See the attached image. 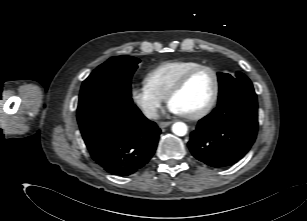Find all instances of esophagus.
Segmentation results:
<instances>
[{"label": "esophagus", "instance_id": "34e87169", "mask_svg": "<svg viewBox=\"0 0 307 221\" xmlns=\"http://www.w3.org/2000/svg\"><path fill=\"white\" fill-rule=\"evenodd\" d=\"M172 123H173L172 121L159 122V127L160 128H165V127H168L169 125H171Z\"/></svg>", "mask_w": 307, "mask_h": 221}]
</instances>
